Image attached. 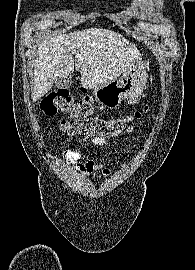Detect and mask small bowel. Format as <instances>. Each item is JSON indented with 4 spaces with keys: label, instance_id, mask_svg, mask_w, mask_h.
<instances>
[{
    "label": "small bowel",
    "instance_id": "c3829d8e",
    "mask_svg": "<svg viewBox=\"0 0 195 270\" xmlns=\"http://www.w3.org/2000/svg\"><path fill=\"white\" fill-rule=\"evenodd\" d=\"M136 124H132L126 128L127 133H131L134 131ZM85 141H90L92 144L95 145H105L107 140L102 137H93L90 139H86ZM62 155L67 160L68 163L75 165V167L84 174H92L96 172H103L107 173L108 171L103 168L102 165H97L92 159L88 160L86 163L82 164L79 163L81 159V153L79 151H73L68 149L62 150Z\"/></svg>",
    "mask_w": 195,
    "mask_h": 270
}]
</instances>
